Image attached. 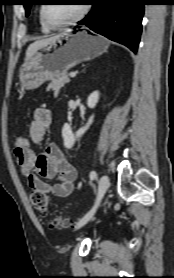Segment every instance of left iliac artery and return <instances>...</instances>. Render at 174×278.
Wrapping results in <instances>:
<instances>
[{
  "label": "left iliac artery",
  "mask_w": 174,
  "mask_h": 278,
  "mask_svg": "<svg viewBox=\"0 0 174 278\" xmlns=\"http://www.w3.org/2000/svg\"><path fill=\"white\" fill-rule=\"evenodd\" d=\"M89 177L91 180H94L97 177L96 171H91Z\"/></svg>",
  "instance_id": "left-iliac-artery-1"
}]
</instances>
